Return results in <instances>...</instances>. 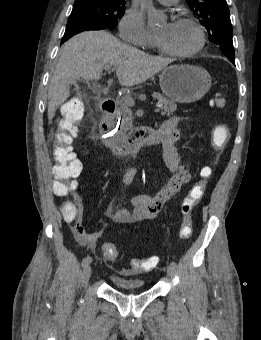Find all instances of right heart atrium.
<instances>
[{
	"instance_id": "d8ad5b80",
	"label": "right heart atrium",
	"mask_w": 261,
	"mask_h": 340,
	"mask_svg": "<svg viewBox=\"0 0 261 340\" xmlns=\"http://www.w3.org/2000/svg\"><path fill=\"white\" fill-rule=\"evenodd\" d=\"M120 37L124 42L138 47H148L154 36L147 29L142 13L137 9H129L119 22Z\"/></svg>"
}]
</instances>
